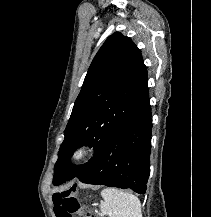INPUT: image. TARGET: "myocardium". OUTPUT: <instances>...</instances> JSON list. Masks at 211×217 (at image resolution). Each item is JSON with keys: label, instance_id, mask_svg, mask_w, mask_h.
I'll return each mask as SVG.
<instances>
[{"label": "myocardium", "instance_id": "1", "mask_svg": "<svg viewBox=\"0 0 211 217\" xmlns=\"http://www.w3.org/2000/svg\"><path fill=\"white\" fill-rule=\"evenodd\" d=\"M95 149L90 144H81L73 149L70 159L75 164H81L94 154Z\"/></svg>", "mask_w": 211, "mask_h": 217}]
</instances>
